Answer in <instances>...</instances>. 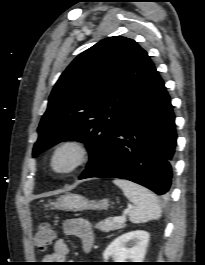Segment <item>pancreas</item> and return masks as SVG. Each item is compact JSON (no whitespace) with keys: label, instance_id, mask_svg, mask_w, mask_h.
<instances>
[{"label":"pancreas","instance_id":"obj_1","mask_svg":"<svg viewBox=\"0 0 205 265\" xmlns=\"http://www.w3.org/2000/svg\"><path fill=\"white\" fill-rule=\"evenodd\" d=\"M124 226V223L114 222L113 218H107L96 224V227L103 232L119 230L124 228Z\"/></svg>","mask_w":205,"mask_h":265}]
</instances>
